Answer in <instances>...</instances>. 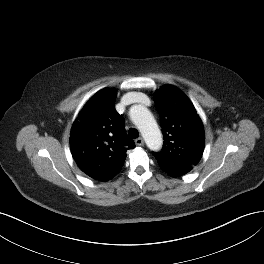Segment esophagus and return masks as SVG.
Returning <instances> with one entry per match:
<instances>
[{
    "label": "esophagus",
    "instance_id": "1",
    "mask_svg": "<svg viewBox=\"0 0 264 264\" xmlns=\"http://www.w3.org/2000/svg\"><path fill=\"white\" fill-rule=\"evenodd\" d=\"M135 144H136L137 146H143V145H144V141H143L142 138H137V139L135 140Z\"/></svg>",
    "mask_w": 264,
    "mask_h": 264
}]
</instances>
